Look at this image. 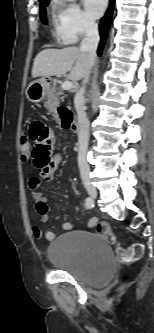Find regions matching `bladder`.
<instances>
[{
    "instance_id": "bladder-1",
    "label": "bladder",
    "mask_w": 154,
    "mask_h": 333,
    "mask_svg": "<svg viewBox=\"0 0 154 333\" xmlns=\"http://www.w3.org/2000/svg\"><path fill=\"white\" fill-rule=\"evenodd\" d=\"M46 257L59 270L99 283L107 282L114 269L109 243L99 233L87 229L56 237L48 246Z\"/></svg>"
}]
</instances>
